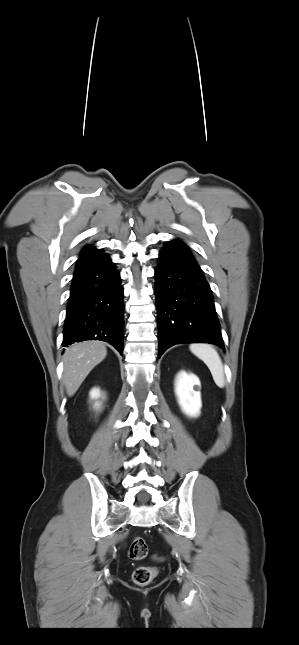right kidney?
<instances>
[{"label": "right kidney", "mask_w": 299, "mask_h": 645, "mask_svg": "<svg viewBox=\"0 0 299 645\" xmlns=\"http://www.w3.org/2000/svg\"><path fill=\"white\" fill-rule=\"evenodd\" d=\"M100 396H101V394H100V390H99L98 388H93V389L91 390V392H90V397H91V399H94V400H95V399L100 398ZM95 407H96V408H99V407H100V403L96 402Z\"/></svg>", "instance_id": "ca27d5eb"}]
</instances>
